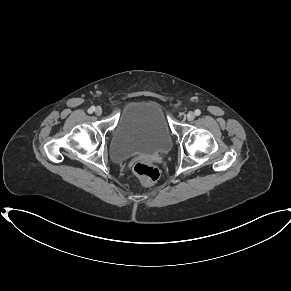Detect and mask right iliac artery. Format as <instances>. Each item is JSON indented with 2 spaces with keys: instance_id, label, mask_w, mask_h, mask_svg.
<instances>
[{
  "instance_id": "obj_1",
  "label": "right iliac artery",
  "mask_w": 291,
  "mask_h": 291,
  "mask_svg": "<svg viewBox=\"0 0 291 291\" xmlns=\"http://www.w3.org/2000/svg\"><path fill=\"white\" fill-rule=\"evenodd\" d=\"M94 111H95V107L94 106H92L91 108L88 109V113H90V114L93 113Z\"/></svg>"
}]
</instances>
